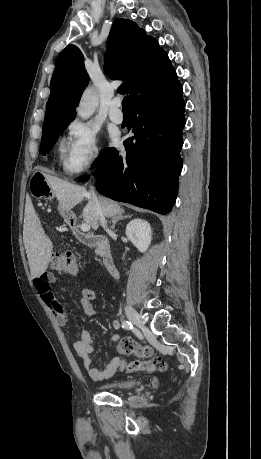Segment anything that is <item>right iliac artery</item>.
Wrapping results in <instances>:
<instances>
[{
  "label": "right iliac artery",
  "instance_id": "right-iliac-artery-1",
  "mask_svg": "<svg viewBox=\"0 0 261 459\" xmlns=\"http://www.w3.org/2000/svg\"><path fill=\"white\" fill-rule=\"evenodd\" d=\"M122 327L126 330H129L132 328V324L129 321H123L122 322Z\"/></svg>",
  "mask_w": 261,
  "mask_h": 459
}]
</instances>
